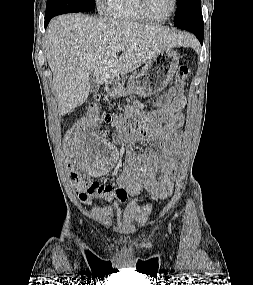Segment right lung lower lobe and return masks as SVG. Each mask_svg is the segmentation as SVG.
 I'll use <instances>...</instances> for the list:
<instances>
[{"label": "right lung lower lobe", "instance_id": "98d812e1", "mask_svg": "<svg viewBox=\"0 0 253 285\" xmlns=\"http://www.w3.org/2000/svg\"><path fill=\"white\" fill-rule=\"evenodd\" d=\"M52 17H54V16H45V27H47V25L50 22Z\"/></svg>", "mask_w": 253, "mask_h": 285}]
</instances>
